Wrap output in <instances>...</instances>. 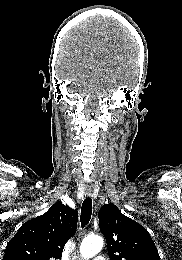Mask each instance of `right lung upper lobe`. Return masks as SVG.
<instances>
[{
    "instance_id": "obj_1",
    "label": "right lung upper lobe",
    "mask_w": 182,
    "mask_h": 260,
    "mask_svg": "<svg viewBox=\"0 0 182 260\" xmlns=\"http://www.w3.org/2000/svg\"><path fill=\"white\" fill-rule=\"evenodd\" d=\"M78 212L56 202L41 216L25 222L7 243L3 260L61 259L66 242L75 234Z\"/></svg>"
}]
</instances>
